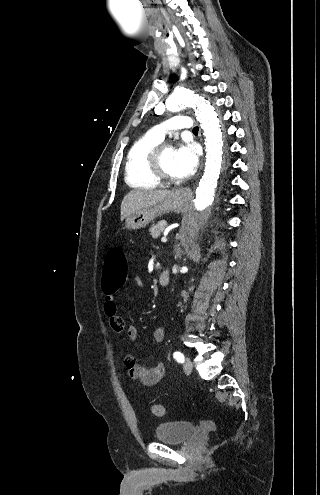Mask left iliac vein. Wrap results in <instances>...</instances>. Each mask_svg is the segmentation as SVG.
Segmentation results:
<instances>
[{
  "label": "left iliac vein",
  "instance_id": "1",
  "mask_svg": "<svg viewBox=\"0 0 320 495\" xmlns=\"http://www.w3.org/2000/svg\"><path fill=\"white\" fill-rule=\"evenodd\" d=\"M193 365L192 362L189 358L185 359V362L183 364V370L186 374H190L192 372Z\"/></svg>",
  "mask_w": 320,
  "mask_h": 495
}]
</instances>
